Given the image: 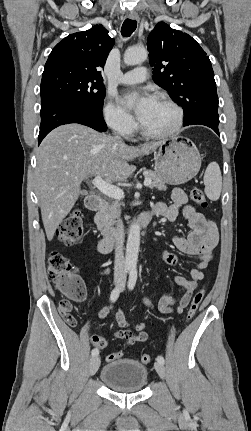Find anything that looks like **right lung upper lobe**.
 Segmentation results:
<instances>
[{
  "instance_id": "right-lung-upper-lobe-1",
  "label": "right lung upper lobe",
  "mask_w": 251,
  "mask_h": 431,
  "mask_svg": "<svg viewBox=\"0 0 251 431\" xmlns=\"http://www.w3.org/2000/svg\"><path fill=\"white\" fill-rule=\"evenodd\" d=\"M114 45V39L102 25L70 34L51 51L45 68L65 66L102 80L100 68Z\"/></svg>"
}]
</instances>
